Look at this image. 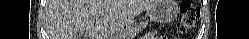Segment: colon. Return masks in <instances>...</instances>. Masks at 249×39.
Returning <instances> with one entry per match:
<instances>
[{
  "instance_id": "5ec220e1",
  "label": "colon",
  "mask_w": 249,
  "mask_h": 39,
  "mask_svg": "<svg viewBox=\"0 0 249 39\" xmlns=\"http://www.w3.org/2000/svg\"><path fill=\"white\" fill-rule=\"evenodd\" d=\"M199 9L191 2L184 1L180 5V19L177 30L180 34L188 33L199 20Z\"/></svg>"
}]
</instances>
